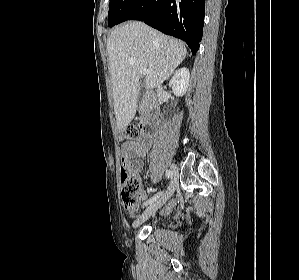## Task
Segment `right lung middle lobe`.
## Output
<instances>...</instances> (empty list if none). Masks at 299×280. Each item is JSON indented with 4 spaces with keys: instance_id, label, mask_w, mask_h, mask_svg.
I'll use <instances>...</instances> for the list:
<instances>
[{
    "instance_id": "obj_1",
    "label": "right lung middle lobe",
    "mask_w": 299,
    "mask_h": 280,
    "mask_svg": "<svg viewBox=\"0 0 299 280\" xmlns=\"http://www.w3.org/2000/svg\"><path fill=\"white\" fill-rule=\"evenodd\" d=\"M136 1L137 0H110L108 26L113 27L119 24L122 16Z\"/></svg>"
}]
</instances>
